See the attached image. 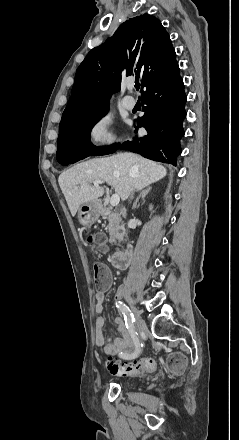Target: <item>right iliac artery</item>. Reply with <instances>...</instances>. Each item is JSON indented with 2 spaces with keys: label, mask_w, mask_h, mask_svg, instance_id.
<instances>
[{
  "label": "right iliac artery",
  "mask_w": 239,
  "mask_h": 440,
  "mask_svg": "<svg viewBox=\"0 0 239 440\" xmlns=\"http://www.w3.org/2000/svg\"><path fill=\"white\" fill-rule=\"evenodd\" d=\"M116 307L123 314L126 327L129 330L131 338L135 344V350L130 353L120 355L124 359H134L137 358L142 351V344L139 342L137 332L135 331L134 322L135 318L129 307H127L123 302H116Z\"/></svg>",
  "instance_id": "1"
}]
</instances>
